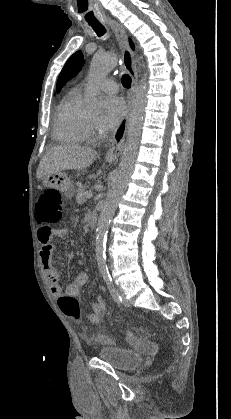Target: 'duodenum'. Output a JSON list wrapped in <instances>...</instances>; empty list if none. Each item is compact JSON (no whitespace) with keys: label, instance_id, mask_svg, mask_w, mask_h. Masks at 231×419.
Instances as JSON below:
<instances>
[{"label":"duodenum","instance_id":"obj_1","mask_svg":"<svg viewBox=\"0 0 231 419\" xmlns=\"http://www.w3.org/2000/svg\"><path fill=\"white\" fill-rule=\"evenodd\" d=\"M87 223L90 227H93L97 223V216L95 214H90L87 217Z\"/></svg>","mask_w":231,"mask_h":419}]
</instances>
